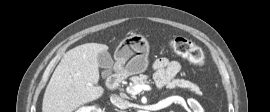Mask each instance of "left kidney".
<instances>
[{"label": "left kidney", "instance_id": "left-kidney-1", "mask_svg": "<svg viewBox=\"0 0 270 112\" xmlns=\"http://www.w3.org/2000/svg\"><path fill=\"white\" fill-rule=\"evenodd\" d=\"M194 104L193 112H204L202 107L199 105V103L195 100L191 101Z\"/></svg>", "mask_w": 270, "mask_h": 112}]
</instances>
